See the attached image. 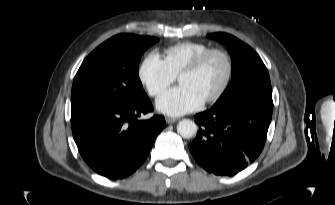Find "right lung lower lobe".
<instances>
[{"label":"right lung lower lobe","instance_id":"1","mask_svg":"<svg viewBox=\"0 0 335 205\" xmlns=\"http://www.w3.org/2000/svg\"><path fill=\"white\" fill-rule=\"evenodd\" d=\"M153 110L147 96L129 105H88L71 110L72 133L85 162L98 174L121 179L147 158L165 127L163 116L139 120Z\"/></svg>","mask_w":335,"mask_h":205}]
</instances>
